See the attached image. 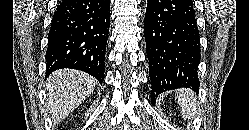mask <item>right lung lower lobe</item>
Wrapping results in <instances>:
<instances>
[{"mask_svg":"<svg viewBox=\"0 0 249 130\" xmlns=\"http://www.w3.org/2000/svg\"><path fill=\"white\" fill-rule=\"evenodd\" d=\"M110 23V0H64L55 10L48 35L47 70L84 71L100 83Z\"/></svg>","mask_w":249,"mask_h":130,"instance_id":"obj_1","label":"right lung lower lobe"}]
</instances>
